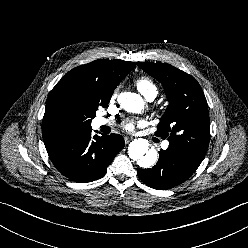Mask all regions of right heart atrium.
<instances>
[{
    "label": "right heart atrium",
    "instance_id": "obj_1",
    "mask_svg": "<svg viewBox=\"0 0 248 248\" xmlns=\"http://www.w3.org/2000/svg\"><path fill=\"white\" fill-rule=\"evenodd\" d=\"M115 96H116V93H114L113 98H115Z\"/></svg>",
    "mask_w": 248,
    "mask_h": 248
}]
</instances>
